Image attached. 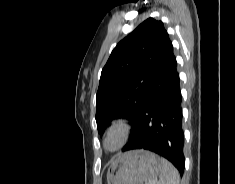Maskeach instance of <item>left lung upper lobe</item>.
Segmentation results:
<instances>
[{
  "instance_id": "1",
  "label": "left lung upper lobe",
  "mask_w": 235,
  "mask_h": 184,
  "mask_svg": "<svg viewBox=\"0 0 235 184\" xmlns=\"http://www.w3.org/2000/svg\"><path fill=\"white\" fill-rule=\"evenodd\" d=\"M168 37L161 21L148 18L113 49L97 91L95 118L99 134L119 117L131 121L133 134Z\"/></svg>"
}]
</instances>
